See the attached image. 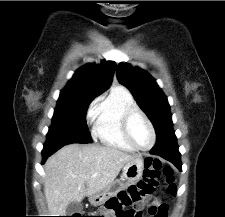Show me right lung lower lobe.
Instances as JSON below:
<instances>
[{"mask_svg": "<svg viewBox=\"0 0 225 217\" xmlns=\"http://www.w3.org/2000/svg\"><path fill=\"white\" fill-rule=\"evenodd\" d=\"M63 146L64 145H55V144L47 145V144H45L43 151H42L43 162L47 159L48 156H50L51 154H53L55 151H57L58 149H60Z\"/></svg>", "mask_w": 225, "mask_h": 217, "instance_id": "1", "label": "right lung lower lobe"}]
</instances>
